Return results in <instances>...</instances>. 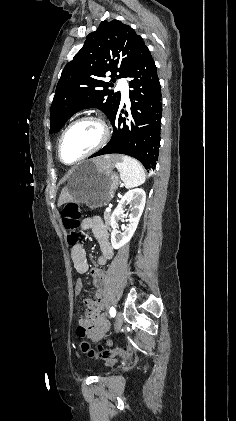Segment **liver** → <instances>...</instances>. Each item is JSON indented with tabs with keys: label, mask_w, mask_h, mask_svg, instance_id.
Wrapping results in <instances>:
<instances>
[{
	"label": "liver",
	"mask_w": 236,
	"mask_h": 421,
	"mask_svg": "<svg viewBox=\"0 0 236 421\" xmlns=\"http://www.w3.org/2000/svg\"><path fill=\"white\" fill-rule=\"evenodd\" d=\"M119 158V154H103V156H96V158H92V160L93 162H96V164H101V166H114ZM70 200H72L70 190L67 186H64L58 198V206H61L64 202H70Z\"/></svg>",
	"instance_id": "1"
}]
</instances>
